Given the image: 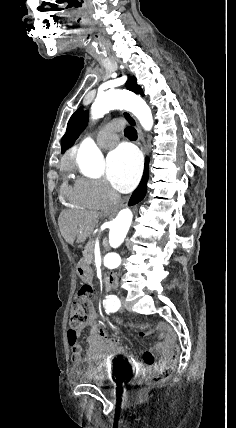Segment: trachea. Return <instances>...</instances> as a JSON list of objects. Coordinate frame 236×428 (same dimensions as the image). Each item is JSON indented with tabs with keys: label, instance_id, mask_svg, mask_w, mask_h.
<instances>
[{
	"label": "trachea",
	"instance_id": "3493384b",
	"mask_svg": "<svg viewBox=\"0 0 236 428\" xmlns=\"http://www.w3.org/2000/svg\"><path fill=\"white\" fill-rule=\"evenodd\" d=\"M92 39L96 40L97 36L93 35ZM124 134H125V136L127 138H130L132 140H135L137 138V132H136L135 128H133L132 126L131 127H126L125 130H124Z\"/></svg>",
	"mask_w": 236,
	"mask_h": 428
}]
</instances>
